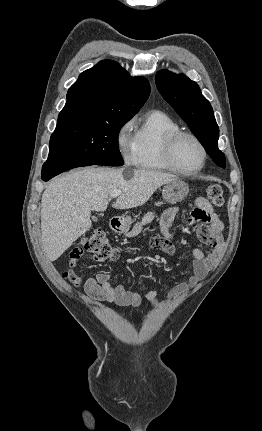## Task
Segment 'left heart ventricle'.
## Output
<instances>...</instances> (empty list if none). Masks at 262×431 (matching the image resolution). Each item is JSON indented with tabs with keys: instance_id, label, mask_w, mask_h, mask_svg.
Masks as SVG:
<instances>
[{
	"instance_id": "b2bd125f",
	"label": "left heart ventricle",
	"mask_w": 262,
	"mask_h": 431,
	"mask_svg": "<svg viewBox=\"0 0 262 431\" xmlns=\"http://www.w3.org/2000/svg\"><path fill=\"white\" fill-rule=\"evenodd\" d=\"M176 159L184 169L195 170L202 163V152L195 142L184 138L177 145Z\"/></svg>"
}]
</instances>
